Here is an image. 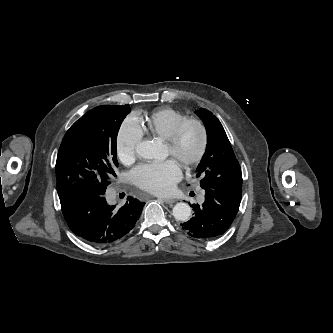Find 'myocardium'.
I'll list each match as a JSON object with an SVG mask.
<instances>
[{"label":"myocardium","mask_w":333,"mask_h":333,"mask_svg":"<svg viewBox=\"0 0 333 333\" xmlns=\"http://www.w3.org/2000/svg\"><path fill=\"white\" fill-rule=\"evenodd\" d=\"M195 127L199 132V147L194 156L190 158H183L179 155V146L183 133L188 127ZM209 143V134L206 125L197 118H186L181 121L172 131L170 137L167 139L168 147L171 155L177 158L186 168L197 166L204 158Z\"/></svg>","instance_id":"obj_1"}]
</instances>
